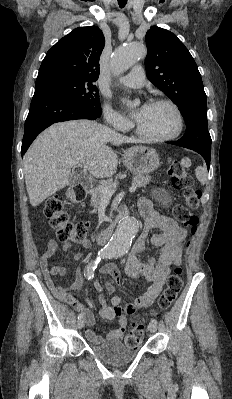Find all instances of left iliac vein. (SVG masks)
Masks as SVG:
<instances>
[{"label":"left iliac vein","instance_id":"obj_1","mask_svg":"<svg viewBox=\"0 0 232 399\" xmlns=\"http://www.w3.org/2000/svg\"><path fill=\"white\" fill-rule=\"evenodd\" d=\"M148 329L150 333H157L156 325H149Z\"/></svg>","mask_w":232,"mask_h":399}]
</instances>
